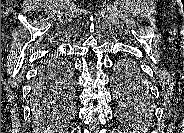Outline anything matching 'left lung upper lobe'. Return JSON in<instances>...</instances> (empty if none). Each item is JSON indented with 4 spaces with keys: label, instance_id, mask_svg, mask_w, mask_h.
Segmentation results:
<instances>
[{
    "label": "left lung upper lobe",
    "instance_id": "left-lung-upper-lobe-1",
    "mask_svg": "<svg viewBox=\"0 0 184 133\" xmlns=\"http://www.w3.org/2000/svg\"><path fill=\"white\" fill-rule=\"evenodd\" d=\"M115 81L119 89L118 101L125 115L132 119H148L152 115V103L147 85L136 66L121 62Z\"/></svg>",
    "mask_w": 184,
    "mask_h": 133
}]
</instances>
